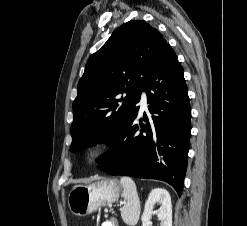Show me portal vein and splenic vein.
I'll list each match as a JSON object with an SVG mask.
<instances>
[{
  "instance_id": "obj_1",
  "label": "portal vein and splenic vein",
  "mask_w": 247,
  "mask_h": 226,
  "mask_svg": "<svg viewBox=\"0 0 247 226\" xmlns=\"http://www.w3.org/2000/svg\"><path fill=\"white\" fill-rule=\"evenodd\" d=\"M103 226H113V225H112V222L108 221V222H105V223L103 224Z\"/></svg>"
}]
</instances>
